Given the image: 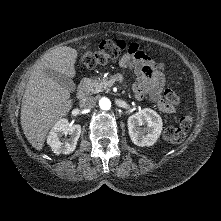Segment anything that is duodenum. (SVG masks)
<instances>
[{
    "instance_id": "410a0bca",
    "label": "duodenum",
    "mask_w": 221,
    "mask_h": 221,
    "mask_svg": "<svg viewBox=\"0 0 221 221\" xmlns=\"http://www.w3.org/2000/svg\"><path fill=\"white\" fill-rule=\"evenodd\" d=\"M90 85H91V79L90 78H83L79 84L78 87V96L80 98L85 97L90 89Z\"/></svg>"
}]
</instances>
